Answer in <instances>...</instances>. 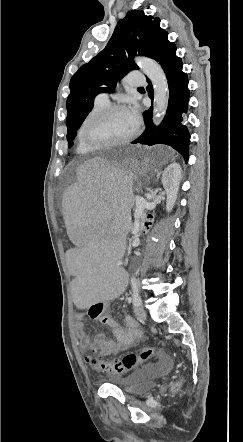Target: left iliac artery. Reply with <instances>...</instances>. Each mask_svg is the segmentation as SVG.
<instances>
[{"mask_svg": "<svg viewBox=\"0 0 243 442\" xmlns=\"http://www.w3.org/2000/svg\"><path fill=\"white\" fill-rule=\"evenodd\" d=\"M132 289H133V295H132V297H133V305L134 306H138V305L141 304V298L139 296L138 288H137L136 283H132Z\"/></svg>", "mask_w": 243, "mask_h": 442, "instance_id": "1", "label": "left iliac artery"}]
</instances>
